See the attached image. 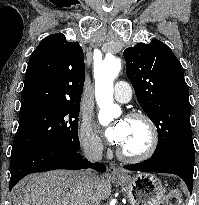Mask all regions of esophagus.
Wrapping results in <instances>:
<instances>
[{
	"mask_svg": "<svg viewBox=\"0 0 199 205\" xmlns=\"http://www.w3.org/2000/svg\"><path fill=\"white\" fill-rule=\"evenodd\" d=\"M109 173L111 176H120L122 174L121 171L114 165L109 167Z\"/></svg>",
	"mask_w": 199,
	"mask_h": 205,
	"instance_id": "esophagus-1",
	"label": "esophagus"
}]
</instances>
